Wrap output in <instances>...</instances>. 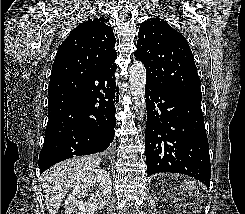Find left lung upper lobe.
<instances>
[{
    "label": "left lung upper lobe",
    "instance_id": "left-lung-upper-lobe-1",
    "mask_svg": "<svg viewBox=\"0 0 245 214\" xmlns=\"http://www.w3.org/2000/svg\"><path fill=\"white\" fill-rule=\"evenodd\" d=\"M135 57L146 67V83L165 91L201 94L192 51L186 39L159 18L139 29Z\"/></svg>",
    "mask_w": 245,
    "mask_h": 214
}]
</instances>
